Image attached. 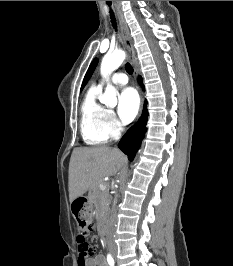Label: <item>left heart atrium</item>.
<instances>
[{"mask_svg":"<svg viewBox=\"0 0 233 266\" xmlns=\"http://www.w3.org/2000/svg\"><path fill=\"white\" fill-rule=\"evenodd\" d=\"M139 110V96L129 87L122 90L118 100V115L124 123L131 122Z\"/></svg>","mask_w":233,"mask_h":266,"instance_id":"1","label":"left heart atrium"}]
</instances>
